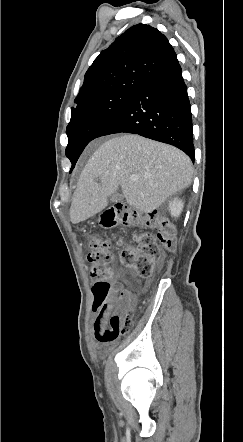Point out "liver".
Masks as SVG:
<instances>
[{"label": "liver", "instance_id": "obj_1", "mask_svg": "<svg viewBox=\"0 0 243 442\" xmlns=\"http://www.w3.org/2000/svg\"><path fill=\"white\" fill-rule=\"evenodd\" d=\"M134 174L137 180L131 179ZM192 177L191 160L181 150L139 135L113 137L98 147L82 170L70 220L77 224L104 210L119 186L131 207L150 212L187 188Z\"/></svg>", "mask_w": 243, "mask_h": 442}]
</instances>
